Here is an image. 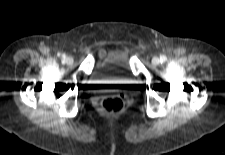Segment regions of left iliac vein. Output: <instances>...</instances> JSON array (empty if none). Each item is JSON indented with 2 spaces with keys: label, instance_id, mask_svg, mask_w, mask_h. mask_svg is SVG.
Segmentation results:
<instances>
[{
  "label": "left iliac vein",
  "instance_id": "4c4485c4",
  "mask_svg": "<svg viewBox=\"0 0 225 155\" xmlns=\"http://www.w3.org/2000/svg\"><path fill=\"white\" fill-rule=\"evenodd\" d=\"M152 63H153L154 65H158V64L160 63V59H159L158 57H154V58L152 59Z\"/></svg>",
  "mask_w": 225,
  "mask_h": 155
}]
</instances>
